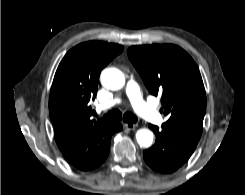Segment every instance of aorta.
<instances>
[{"label": "aorta", "mask_w": 245, "mask_h": 195, "mask_svg": "<svg viewBox=\"0 0 245 195\" xmlns=\"http://www.w3.org/2000/svg\"><path fill=\"white\" fill-rule=\"evenodd\" d=\"M101 84L110 90H119L125 84L123 73L116 68H106L100 76ZM136 140L140 147L149 148L153 143V133L148 129H139L136 132Z\"/></svg>", "instance_id": "762f6f07"}]
</instances>
